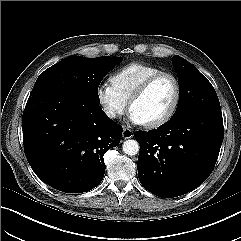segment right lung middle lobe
<instances>
[{"mask_svg":"<svg viewBox=\"0 0 241 241\" xmlns=\"http://www.w3.org/2000/svg\"><path fill=\"white\" fill-rule=\"evenodd\" d=\"M122 58L81 56L67 57L40 74L31 95L61 89L81 99L99 105L98 87L104 76L119 64Z\"/></svg>","mask_w":241,"mask_h":241,"instance_id":"obj_1","label":"right lung middle lobe"}]
</instances>
